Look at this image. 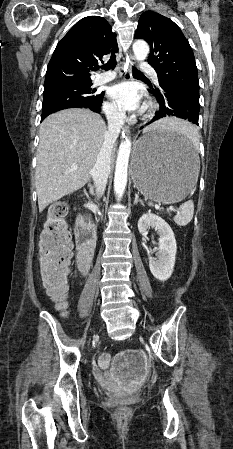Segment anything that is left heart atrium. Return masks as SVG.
<instances>
[{
    "label": "left heart atrium",
    "mask_w": 233,
    "mask_h": 449,
    "mask_svg": "<svg viewBox=\"0 0 233 449\" xmlns=\"http://www.w3.org/2000/svg\"><path fill=\"white\" fill-rule=\"evenodd\" d=\"M108 95L123 110L137 111L141 108V95L132 83L116 84L109 89Z\"/></svg>",
    "instance_id": "obj_1"
}]
</instances>
